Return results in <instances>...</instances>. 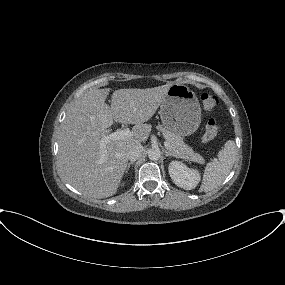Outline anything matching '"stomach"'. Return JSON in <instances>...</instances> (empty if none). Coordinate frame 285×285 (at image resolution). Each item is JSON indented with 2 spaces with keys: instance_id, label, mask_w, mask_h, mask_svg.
Masks as SVG:
<instances>
[{
  "instance_id": "stomach-1",
  "label": "stomach",
  "mask_w": 285,
  "mask_h": 285,
  "mask_svg": "<svg viewBox=\"0 0 285 285\" xmlns=\"http://www.w3.org/2000/svg\"><path fill=\"white\" fill-rule=\"evenodd\" d=\"M164 127L180 136L195 132L201 121V108L195 93L184 84H173L160 105Z\"/></svg>"
}]
</instances>
